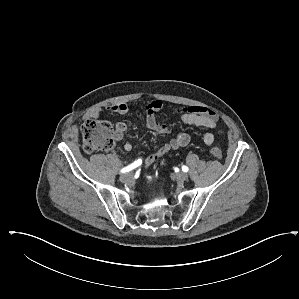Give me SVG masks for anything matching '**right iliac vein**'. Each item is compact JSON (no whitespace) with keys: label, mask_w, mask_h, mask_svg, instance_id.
I'll list each match as a JSON object with an SVG mask.
<instances>
[{"label":"right iliac vein","mask_w":299,"mask_h":299,"mask_svg":"<svg viewBox=\"0 0 299 299\" xmlns=\"http://www.w3.org/2000/svg\"><path fill=\"white\" fill-rule=\"evenodd\" d=\"M133 178V173L132 172H129V173H126L124 175H121L120 177V181L125 183V182H130Z\"/></svg>","instance_id":"obj_1"}]
</instances>
